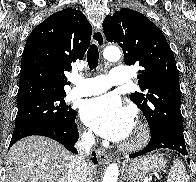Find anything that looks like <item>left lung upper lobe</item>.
Instances as JSON below:
<instances>
[{"label":"left lung upper lobe","instance_id":"obj_1","mask_svg":"<svg viewBox=\"0 0 196 182\" xmlns=\"http://www.w3.org/2000/svg\"><path fill=\"white\" fill-rule=\"evenodd\" d=\"M104 34L118 42L127 65L139 64V87L130 99L146 117L151 134L167 129L183 134L179 73L173 52L162 31L147 17L130 9L106 16Z\"/></svg>","mask_w":196,"mask_h":182}]
</instances>
